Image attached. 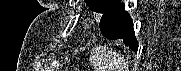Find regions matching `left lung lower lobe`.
Here are the masks:
<instances>
[{
  "mask_svg": "<svg viewBox=\"0 0 181 71\" xmlns=\"http://www.w3.org/2000/svg\"><path fill=\"white\" fill-rule=\"evenodd\" d=\"M118 0L100 20V30L108 39H122L126 46L137 52L138 41L135 38L133 22L125 11L124 4Z\"/></svg>",
  "mask_w": 181,
  "mask_h": 71,
  "instance_id": "0a47b994",
  "label": "left lung lower lobe"
}]
</instances>
